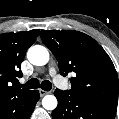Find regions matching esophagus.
<instances>
[{
    "instance_id": "obj_1",
    "label": "esophagus",
    "mask_w": 119,
    "mask_h": 119,
    "mask_svg": "<svg viewBox=\"0 0 119 119\" xmlns=\"http://www.w3.org/2000/svg\"><path fill=\"white\" fill-rule=\"evenodd\" d=\"M48 92L42 89H39V94L41 97L45 96Z\"/></svg>"
}]
</instances>
